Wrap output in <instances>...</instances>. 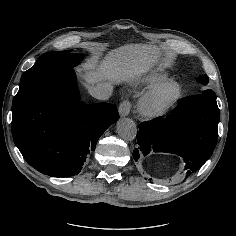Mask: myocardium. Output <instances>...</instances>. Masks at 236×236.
<instances>
[{
  "label": "myocardium",
  "mask_w": 236,
  "mask_h": 236,
  "mask_svg": "<svg viewBox=\"0 0 236 236\" xmlns=\"http://www.w3.org/2000/svg\"><path fill=\"white\" fill-rule=\"evenodd\" d=\"M181 88L177 83L159 84L141 95L136 104L137 114L145 120H155L165 115L178 101Z\"/></svg>",
  "instance_id": "1"
}]
</instances>
